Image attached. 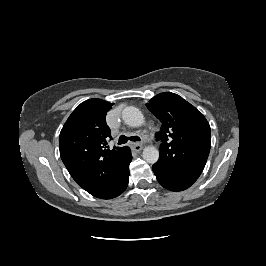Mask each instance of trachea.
I'll return each instance as SVG.
<instances>
[{"label": "trachea", "instance_id": "1", "mask_svg": "<svg viewBox=\"0 0 266 266\" xmlns=\"http://www.w3.org/2000/svg\"><path fill=\"white\" fill-rule=\"evenodd\" d=\"M128 140H131V141H134V142H137V141H140V137L138 136H130V137H127L125 135H121L119 137V140H118V144L121 145V144H125Z\"/></svg>", "mask_w": 266, "mask_h": 266}]
</instances>
